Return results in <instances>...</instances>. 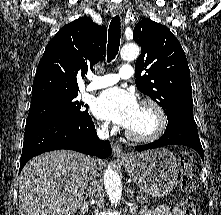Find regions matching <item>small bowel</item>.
I'll use <instances>...</instances> for the list:
<instances>
[{"mask_svg": "<svg viewBox=\"0 0 221 215\" xmlns=\"http://www.w3.org/2000/svg\"><path fill=\"white\" fill-rule=\"evenodd\" d=\"M140 215H185L180 208H169L167 206H159L156 209H143Z\"/></svg>", "mask_w": 221, "mask_h": 215, "instance_id": "c3829d8e", "label": "small bowel"}]
</instances>
